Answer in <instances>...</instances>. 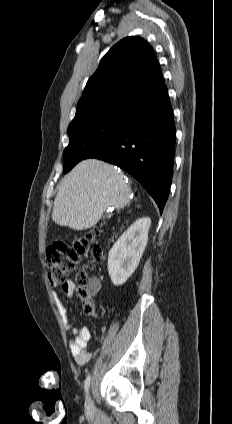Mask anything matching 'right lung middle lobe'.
<instances>
[{"label": "right lung middle lobe", "mask_w": 232, "mask_h": 424, "mask_svg": "<svg viewBox=\"0 0 232 424\" xmlns=\"http://www.w3.org/2000/svg\"><path fill=\"white\" fill-rule=\"evenodd\" d=\"M131 106L122 103L103 104L76 113L67 130L70 143L63 152L64 173L125 124Z\"/></svg>", "instance_id": "right-lung-middle-lobe-1"}]
</instances>
